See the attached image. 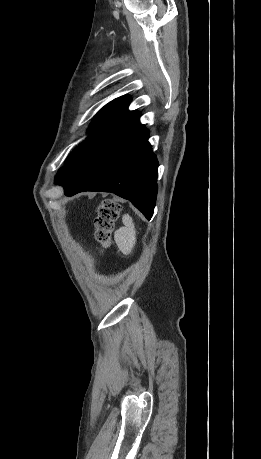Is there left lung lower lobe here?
Here are the masks:
<instances>
[{
  "instance_id": "obj_1",
  "label": "left lung lower lobe",
  "mask_w": 261,
  "mask_h": 459,
  "mask_svg": "<svg viewBox=\"0 0 261 459\" xmlns=\"http://www.w3.org/2000/svg\"><path fill=\"white\" fill-rule=\"evenodd\" d=\"M133 115L99 150L61 185L66 196L104 191L130 200L150 220L157 196L156 156L149 132Z\"/></svg>"
}]
</instances>
